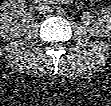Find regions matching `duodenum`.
<instances>
[{"mask_svg":"<svg viewBox=\"0 0 111 106\" xmlns=\"http://www.w3.org/2000/svg\"><path fill=\"white\" fill-rule=\"evenodd\" d=\"M56 2H59V3H66V2H68V0H57Z\"/></svg>","mask_w":111,"mask_h":106,"instance_id":"1","label":"duodenum"}]
</instances>
